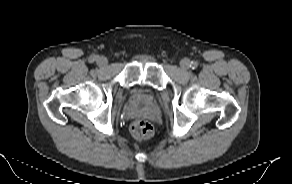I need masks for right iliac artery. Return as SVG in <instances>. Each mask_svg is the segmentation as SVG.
Segmentation results:
<instances>
[{
	"mask_svg": "<svg viewBox=\"0 0 292 184\" xmlns=\"http://www.w3.org/2000/svg\"><path fill=\"white\" fill-rule=\"evenodd\" d=\"M96 59H97V57L92 56V57H90L89 61L92 63V62H94Z\"/></svg>",
	"mask_w": 292,
	"mask_h": 184,
	"instance_id": "obj_1",
	"label": "right iliac artery"
}]
</instances>
